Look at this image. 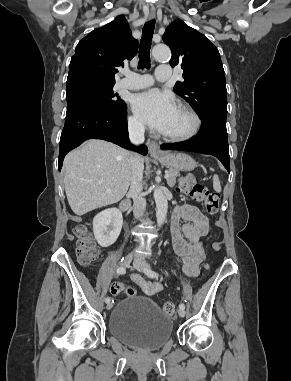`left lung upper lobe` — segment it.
<instances>
[{"instance_id": "5c2ea615", "label": "left lung upper lobe", "mask_w": 291, "mask_h": 381, "mask_svg": "<svg viewBox=\"0 0 291 381\" xmlns=\"http://www.w3.org/2000/svg\"><path fill=\"white\" fill-rule=\"evenodd\" d=\"M163 41L172 52L170 65L184 70L183 81L174 87L175 93L190 103L201 120L226 119V80L216 46L179 19L167 27Z\"/></svg>"}]
</instances>
